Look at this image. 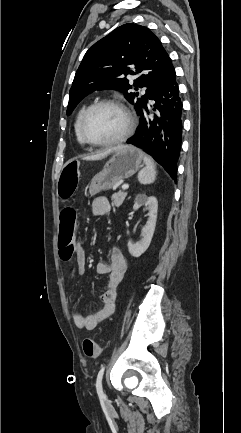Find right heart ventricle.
<instances>
[{
	"label": "right heart ventricle",
	"instance_id": "e07e8e85",
	"mask_svg": "<svg viewBox=\"0 0 241 433\" xmlns=\"http://www.w3.org/2000/svg\"><path fill=\"white\" fill-rule=\"evenodd\" d=\"M86 109H87V106H85V105L79 109V111L77 112L76 118H75V122H74L75 137H76L78 144L81 146H83L85 143L81 138L80 131H79V125H80L81 117H82V115Z\"/></svg>",
	"mask_w": 241,
	"mask_h": 433
}]
</instances>
